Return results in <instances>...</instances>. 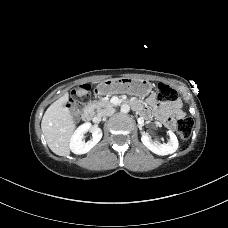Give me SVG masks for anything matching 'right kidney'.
I'll return each mask as SVG.
<instances>
[{
  "label": "right kidney",
  "mask_w": 228,
  "mask_h": 228,
  "mask_svg": "<svg viewBox=\"0 0 228 228\" xmlns=\"http://www.w3.org/2000/svg\"><path fill=\"white\" fill-rule=\"evenodd\" d=\"M92 132V139L85 142L84 133ZM102 130L98 127L92 128L91 123H84L79 126L70 139V149L74 154H85L89 152L102 138Z\"/></svg>",
  "instance_id": "right-kidney-1"
}]
</instances>
